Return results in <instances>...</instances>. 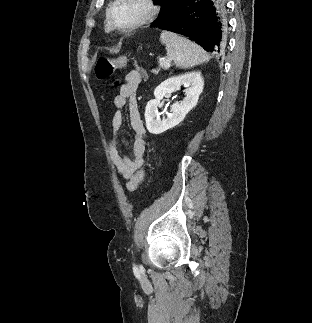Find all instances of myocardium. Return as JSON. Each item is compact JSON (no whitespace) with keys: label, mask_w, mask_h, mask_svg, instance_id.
<instances>
[{"label":"myocardium","mask_w":312,"mask_h":323,"mask_svg":"<svg viewBox=\"0 0 312 323\" xmlns=\"http://www.w3.org/2000/svg\"><path fill=\"white\" fill-rule=\"evenodd\" d=\"M161 8V3H155V0H114L110 1L109 10H105L104 15L112 25V31H138L139 27L146 25L148 21H156ZM136 11H139L138 16L131 20H123L121 14H117Z\"/></svg>","instance_id":"1"}]
</instances>
